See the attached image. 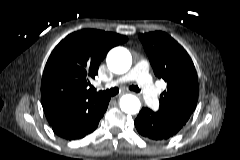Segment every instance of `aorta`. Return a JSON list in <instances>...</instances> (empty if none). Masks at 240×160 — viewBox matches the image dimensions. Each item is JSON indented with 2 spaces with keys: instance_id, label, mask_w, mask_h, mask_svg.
<instances>
[{
  "instance_id": "762f6f07",
  "label": "aorta",
  "mask_w": 240,
  "mask_h": 160,
  "mask_svg": "<svg viewBox=\"0 0 240 160\" xmlns=\"http://www.w3.org/2000/svg\"><path fill=\"white\" fill-rule=\"evenodd\" d=\"M106 62L110 71L115 74H124L131 67L132 57L126 48L116 47L109 51ZM140 107V100L134 95L126 94L120 99V108L127 114H137Z\"/></svg>"
}]
</instances>
